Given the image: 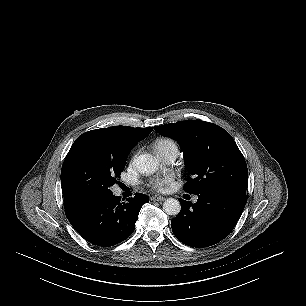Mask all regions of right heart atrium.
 <instances>
[{
  "label": "right heart atrium",
  "mask_w": 306,
  "mask_h": 306,
  "mask_svg": "<svg viewBox=\"0 0 306 306\" xmlns=\"http://www.w3.org/2000/svg\"><path fill=\"white\" fill-rule=\"evenodd\" d=\"M136 157V154L133 156V159Z\"/></svg>",
  "instance_id": "1"
}]
</instances>
